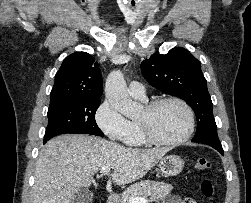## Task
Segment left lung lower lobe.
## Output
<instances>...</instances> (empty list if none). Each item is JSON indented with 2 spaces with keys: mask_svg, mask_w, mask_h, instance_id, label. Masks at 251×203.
<instances>
[{
  "mask_svg": "<svg viewBox=\"0 0 251 203\" xmlns=\"http://www.w3.org/2000/svg\"><path fill=\"white\" fill-rule=\"evenodd\" d=\"M211 147H213L214 149H216L221 155L224 154L223 148L221 144H213L210 145Z\"/></svg>",
  "mask_w": 251,
  "mask_h": 203,
  "instance_id": "0a47b994",
  "label": "left lung lower lobe"
}]
</instances>
